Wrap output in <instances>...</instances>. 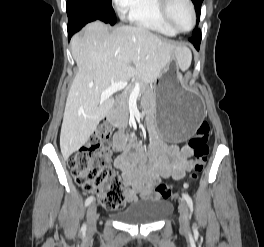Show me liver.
Here are the masks:
<instances>
[{"instance_id": "6515ba94", "label": "liver", "mask_w": 264, "mask_h": 247, "mask_svg": "<svg viewBox=\"0 0 264 247\" xmlns=\"http://www.w3.org/2000/svg\"><path fill=\"white\" fill-rule=\"evenodd\" d=\"M173 45L148 29L123 25L112 31L95 21L71 39L78 72L71 84L60 133L63 158L82 147L114 106L100 99L112 83L132 77L150 83L169 65Z\"/></svg>"}]
</instances>
